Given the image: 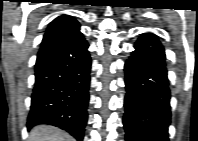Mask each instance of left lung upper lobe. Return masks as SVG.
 Wrapping results in <instances>:
<instances>
[{
	"mask_svg": "<svg viewBox=\"0 0 198 141\" xmlns=\"http://www.w3.org/2000/svg\"><path fill=\"white\" fill-rule=\"evenodd\" d=\"M146 35H154V34H152V33H146ZM141 105L143 106V108H142V109H144V110H146V111H149L150 103H149V101H148V100H146V99H142V103H141Z\"/></svg>",
	"mask_w": 198,
	"mask_h": 141,
	"instance_id": "obj_1",
	"label": "left lung upper lobe"
}]
</instances>
